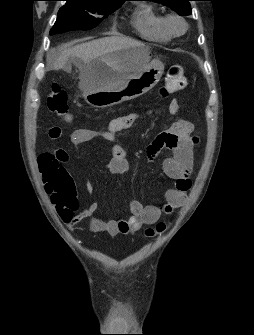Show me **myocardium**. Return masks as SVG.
<instances>
[{
    "label": "myocardium",
    "instance_id": "1",
    "mask_svg": "<svg viewBox=\"0 0 254 335\" xmlns=\"http://www.w3.org/2000/svg\"><path fill=\"white\" fill-rule=\"evenodd\" d=\"M164 25L171 36H181L186 32L188 28L186 20L182 16L177 14H170L165 17ZM176 25H180L181 29L177 30Z\"/></svg>",
    "mask_w": 254,
    "mask_h": 335
}]
</instances>
